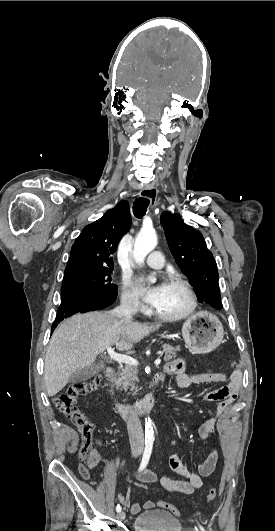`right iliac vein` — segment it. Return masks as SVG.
<instances>
[{
  "label": "right iliac vein",
  "mask_w": 275,
  "mask_h": 531,
  "mask_svg": "<svg viewBox=\"0 0 275 531\" xmlns=\"http://www.w3.org/2000/svg\"><path fill=\"white\" fill-rule=\"evenodd\" d=\"M135 456H137V454H135ZM117 519H119V520H124V519H125V512L120 511V512L117 514Z\"/></svg>",
  "instance_id": "63e3f726"
}]
</instances>
